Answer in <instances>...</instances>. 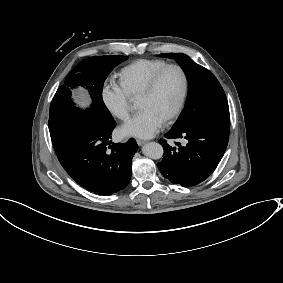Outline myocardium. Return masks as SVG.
<instances>
[{"label": "myocardium", "mask_w": 283, "mask_h": 283, "mask_svg": "<svg viewBox=\"0 0 283 283\" xmlns=\"http://www.w3.org/2000/svg\"><path fill=\"white\" fill-rule=\"evenodd\" d=\"M170 69H177L182 77V91L181 94L179 96V99L177 101L176 106L173 108V110L166 116L165 120L166 121H170L172 119H174L182 110L183 105L185 103V99L187 96V92H188V85H189V81H188V76L186 71L184 70V68L181 65L178 64H167L164 67H162L161 69H159L158 71H156L146 82L145 86L143 87V89L141 90L140 94H139V98L143 97V96H148L151 93H153V91L155 90L158 82L160 81V79L162 78V76Z\"/></svg>", "instance_id": "f54148a6"}]
</instances>
